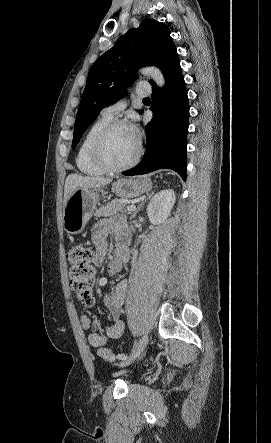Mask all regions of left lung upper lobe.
Returning a JSON list of instances; mask_svg holds the SVG:
<instances>
[{"instance_id": "obj_1", "label": "left lung upper lobe", "mask_w": 271, "mask_h": 443, "mask_svg": "<svg viewBox=\"0 0 271 443\" xmlns=\"http://www.w3.org/2000/svg\"><path fill=\"white\" fill-rule=\"evenodd\" d=\"M175 48L170 30L164 23L145 19L130 29L91 67L74 126V148L99 112L126 94L137 79V69L157 66Z\"/></svg>"}]
</instances>
